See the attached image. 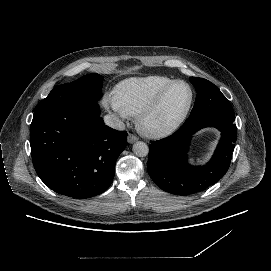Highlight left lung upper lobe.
Segmentation results:
<instances>
[{
	"mask_svg": "<svg viewBox=\"0 0 271 271\" xmlns=\"http://www.w3.org/2000/svg\"><path fill=\"white\" fill-rule=\"evenodd\" d=\"M190 81L197 92L190 116L208 112L234 114L230 102L213 83L198 77H190Z\"/></svg>",
	"mask_w": 271,
	"mask_h": 271,
	"instance_id": "5c2ea615",
	"label": "left lung upper lobe"
}]
</instances>
